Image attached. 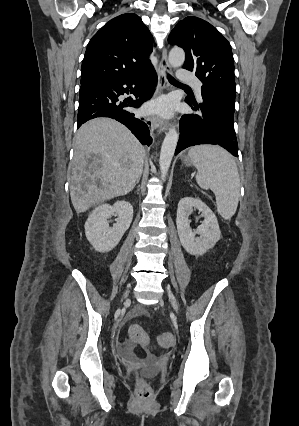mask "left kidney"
Here are the masks:
<instances>
[{"instance_id": "left-kidney-1", "label": "left kidney", "mask_w": 299, "mask_h": 426, "mask_svg": "<svg viewBox=\"0 0 299 426\" xmlns=\"http://www.w3.org/2000/svg\"><path fill=\"white\" fill-rule=\"evenodd\" d=\"M197 209L202 213L204 221L194 231L190 227L189 215ZM177 231L183 248L191 255H203L213 248L221 236L215 214L199 198L185 197L178 203L176 217ZM199 234L200 237H195Z\"/></svg>"}]
</instances>
